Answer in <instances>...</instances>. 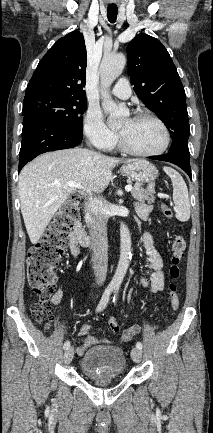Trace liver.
<instances>
[{
    "mask_svg": "<svg viewBox=\"0 0 213 433\" xmlns=\"http://www.w3.org/2000/svg\"><path fill=\"white\" fill-rule=\"evenodd\" d=\"M122 161L134 160L72 148L45 153L27 164L19 175V195L31 243L38 242L54 214L77 189L65 188L64 184L73 181L87 192H102L111 180L112 169Z\"/></svg>",
    "mask_w": 213,
    "mask_h": 433,
    "instance_id": "liver-1",
    "label": "liver"
}]
</instances>
